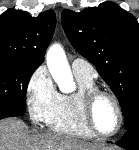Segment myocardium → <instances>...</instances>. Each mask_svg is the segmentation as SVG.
<instances>
[{"label":"myocardium","instance_id":"1","mask_svg":"<svg viewBox=\"0 0 139 150\" xmlns=\"http://www.w3.org/2000/svg\"><path fill=\"white\" fill-rule=\"evenodd\" d=\"M101 96H106L113 102L116 108L117 116H118L117 126L114 129V131L110 133L100 132L96 128L94 121H93V107H94L96 100ZM81 113H82L83 121L85 125L87 126V128L91 131V133L94 136L99 137V138L114 137L120 132L123 126L124 117H123V110H122L121 104L118 98L116 97V95L108 90L94 87V88L84 91L81 96Z\"/></svg>","mask_w":139,"mask_h":150}]
</instances>
